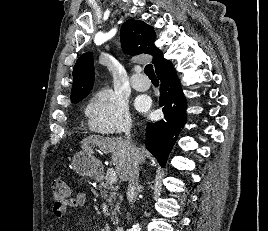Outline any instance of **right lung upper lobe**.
Here are the masks:
<instances>
[{"instance_id":"1","label":"right lung upper lobe","mask_w":268,"mask_h":231,"mask_svg":"<svg viewBox=\"0 0 268 231\" xmlns=\"http://www.w3.org/2000/svg\"><path fill=\"white\" fill-rule=\"evenodd\" d=\"M121 44L125 53L130 55L151 54L156 72L168 65L170 61L154 45L156 38L153 27L140 20L130 19L121 27ZM94 67L92 53L88 52L79 57L73 70V86L71 101L76 102L86 97L93 86Z\"/></svg>"}]
</instances>
